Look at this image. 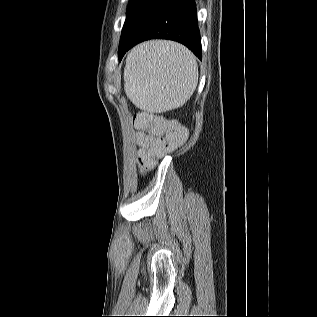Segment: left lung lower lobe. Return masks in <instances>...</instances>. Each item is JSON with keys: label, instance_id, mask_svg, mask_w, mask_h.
Masks as SVG:
<instances>
[{"label": "left lung lower lobe", "instance_id": "obj_1", "mask_svg": "<svg viewBox=\"0 0 317 317\" xmlns=\"http://www.w3.org/2000/svg\"><path fill=\"white\" fill-rule=\"evenodd\" d=\"M150 39L177 41L201 59L202 48L194 0H166L130 41L119 46V59L133 46Z\"/></svg>", "mask_w": 317, "mask_h": 317}]
</instances>
